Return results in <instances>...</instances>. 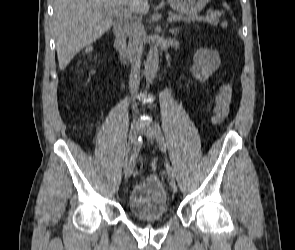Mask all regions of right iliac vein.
Instances as JSON below:
<instances>
[{
	"label": "right iliac vein",
	"mask_w": 295,
	"mask_h": 250,
	"mask_svg": "<svg viewBox=\"0 0 295 250\" xmlns=\"http://www.w3.org/2000/svg\"><path fill=\"white\" fill-rule=\"evenodd\" d=\"M139 129L138 123L136 121H133L131 124V129L129 133V144H133L137 138L136 132ZM131 151V147L129 146L128 152ZM131 175V170L127 167H124V176L129 177Z\"/></svg>",
	"instance_id": "obj_1"
}]
</instances>
